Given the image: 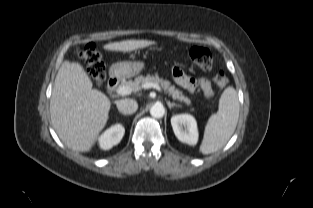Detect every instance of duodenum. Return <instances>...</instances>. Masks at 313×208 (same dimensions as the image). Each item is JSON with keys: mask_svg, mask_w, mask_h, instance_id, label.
Here are the masks:
<instances>
[{"mask_svg": "<svg viewBox=\"0 0 313 208\" xmlns=\"http://www.w3.org/2000/svg\"><path fill=\"white\" fill-rule=\"evenodd\" d=\"M120 81V75L116 71V69H113L110 73L109 79L107 81V90L112 92L116 89L118 83Z\"/></svg>", "mask_w": 313, "mask_h": 208, "instance_id": "410a0bca", "label": "duodenum"}]
</instances>
